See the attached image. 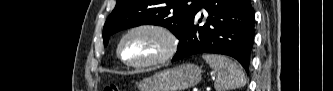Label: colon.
Instances as JSON below:
<instances>
[{
    "instance_id": "colon-1",
    "label": "colon",
    "mask_w": 333,
    "mask_h": 91,
    "mask_svg": "<svg viewBox=\"0 0 333 91\" xmlns=\"http://www.w3.org/2000/svg\"><path fill=\"white\" fill-rule=\"evenodd\" d=\"M104 91H120V89L116 84L111 83L104 88Z\"/></svg>"
}]
</instances>
